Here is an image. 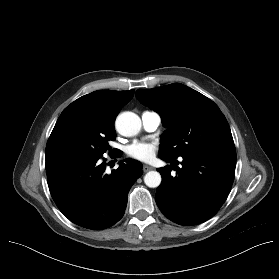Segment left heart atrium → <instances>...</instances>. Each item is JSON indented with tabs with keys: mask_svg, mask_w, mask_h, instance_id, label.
Returning a JSON list of instances; mask_svg holds the SVG:
<instances>
[{
	"mask_svg": "<svg viewBox=\"0 0 279 279\" xmlns=\"http://www.w3.org/2000/svg\"><path fill=\"white\" fill-rule=\"evenodd\" d=\"M155 145L146 142H135L127 147V154L131 158L142 162H149L155 154Z\"/></svg>",
	"mask_w": 279,
	"mask_h": 279,
	"instance_id": "1",
	"label": "left heart atrium"
}]
</instances>
